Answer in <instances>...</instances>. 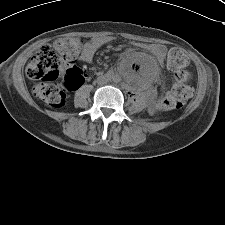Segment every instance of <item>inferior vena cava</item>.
Instances as JSON below:
<instances>
[{
	"mask_svg": "<svg viewBox=\"0 0 225 225\" xmlns=\"http://www.w3.org/2000/svg\"><path fill=\"white\" fill-rule=\"evenodd\" d=\"M107 83V80L105 79V78H100V79H98V84L99 85H104V84H106Z\"/></svg>",
	"mask_w": 225,
	"mask_h": 225,
	"instance_id": "inferior-vena-cava-1",
	"label": "inferior vena cava"
}]
</instances>
